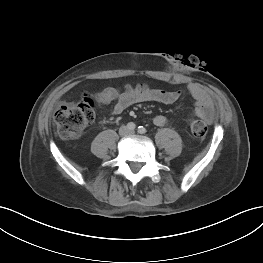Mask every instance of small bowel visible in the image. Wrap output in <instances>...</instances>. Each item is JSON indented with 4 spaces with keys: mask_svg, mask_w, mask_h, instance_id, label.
I'll return each mask as SVG.
<instances>
[{
    "mask_svg": "<svg viewBox=\"0 0 263 263\" xmlns=\"http://www.w3.org/2000/svg\"><path fill=\"white\" fill-rule=\"evenodd\" d=\"M188 91L195 100V114L206 122H211L214 118L213 102L206 90L197 83H190ZM182 95L180 90H163L148 89L144 93H138L132 89H126L123 92L117 91L113 87L104 88L96 96L98 103L106 105L115 101L113 114H121L125 109L141 102H157L162 104H172ZM168 122V118L164 115H156L153 123L156 126H164Z\"/></svg>",
    "mask_w": 263,
    "mask_h": 263,
    "instance_id": "obj_1",
    "label": "small bowel"
}]
</instances>
